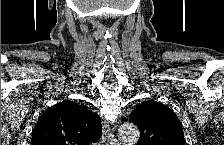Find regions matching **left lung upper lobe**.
I'll return each mask as SVG.
<instances>
[{"label":"left lung upper lobe","mask_w":224,"mask_h":145,"mask_svg":"<svg viewBox=\"0 0 224 145\" xmlns=\"http://www.w3.org/2000/svg\"><path fill=\"white\" fill-rule=\"evenodd\" d=\"M140 130L137 145H185L181 123L164 104L150 100L142 102L129 119Z\"/></svg>","instance_id":"5c2ea615"}]
</instances>
